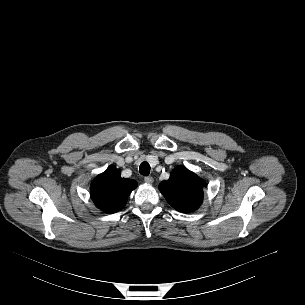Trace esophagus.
Here are the masks:
<instances>
[{"instance_id": "obj_1", "label": "esophagus", "mask_w": 305, "mask_h": 305, "mask_svg": "<svg viewBox=\"0 0 305 305\" xmlns=\"http://www.w3.org/2000/svg\"><path fill=\"white\" fill-rule=\"evenodd\" d=\"M144 181L147 183V184H152L154 182V179L153 177L151 176H147L144 178Z\"/></svg>"}]
</instances>
